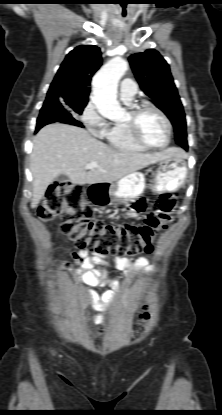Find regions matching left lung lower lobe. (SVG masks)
Segmentation results:
<instances>
[{
  "mask_svg": "<svg viewBox=\"0 0 222 415\" xmlns=\"http://www.w3.org/2000/svg\"><path fill=\"white\" fill-rule=\"evenodd\" d=\"M182 148H184L185 150H187L188 149V145H185V146H181Z\"/></svg>",
  "mask_w": 222,
  "mask_h": 415,
  "instance_id": "left-lung-lower-lobe-1",
  "label": "left lung lower lobe"
}]
</instances>
